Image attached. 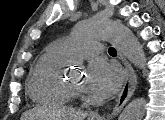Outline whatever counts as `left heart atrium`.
I'll list each match as a JSON object with an SVG mask.
<instances>
[{
	"label": "left heart atrium",
	"mask_w": 165,
	"mask_h": 120,
	"mask_svg": "<svg viewBox=\"0 0 165 120\" xmlns=\"http://www.w3.org/2000/svg\"><path fill=\"white\" fill-rule=\"evenodd\" d=\"M121 80V71L116 65L95 60L88 69L86 90L94 96L107 98L116 93Z\"/></svg>",
	"instance_id": "39dd6f15"
}]
</instances>
